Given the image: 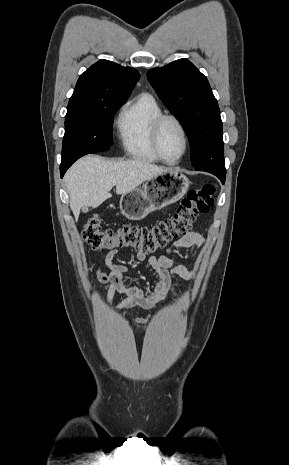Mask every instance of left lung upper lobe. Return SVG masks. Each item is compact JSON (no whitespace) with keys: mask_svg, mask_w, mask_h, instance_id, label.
Here are the masks:
<instances>
[{"mask_svg":"<svg viewBox=\"0 0 289 465\" xmlns=\"http://www.w3.org/2000/svg\"><path fill=\"white\" fill-rule=\"evenodd\" d=\"M147 77L188 135L193 167L225 174L220 109L207 78L187 59L154 68Z\"/></svg>","mask_w":289,"mask_h":465,"instance_id":"5c2ea615","label":"left lung upper lobe"}]
</instances>
